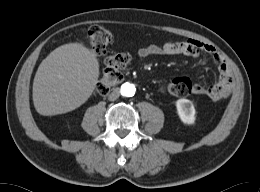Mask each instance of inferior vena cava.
I'll list each match as a JSON object with an SVG mask.
<instances>
[{"instance_id":"inferior-vena-cava-1","label":"inferior vena cava","mask_w":260,"mask_h":192,"mask_svg":"<svg viewBox=\"0 0 260 192\" xmlns=\"http://www.w3.org/2000/svg\"><path fill=\"white\" fill-rule=\"evenodd\" d=\"M119 95H120L119 91H118L117 89H114V90L110 93L108 99H109L110 101H114V100H116V99L119 97Z\"/></svg>"}]
</instances>
